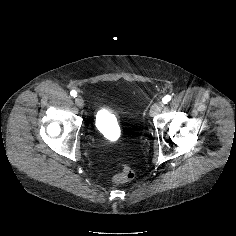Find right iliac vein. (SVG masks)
I'll return each mask as SVG.
<instances>
[{"mask_svg":"<svg viewBox=\"0 0 236 236\" xmlns=\"http://www.w3.org/2000/svg\"><path fill=\"white\" fill-rule=\"evenodd\" d=\"M75 104L79 107V108H83L84 106V100L81 96H77L75 98Z\"/></svg>","mask_w":236,"mask_h":236,"instance_id":"1","label":"right iliac vein"}]
</instances>
